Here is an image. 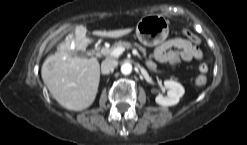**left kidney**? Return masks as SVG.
<instances>
[{"instance_id": "1", "label": "left kidney", "mask_w": 247, "mask_h": 145, "mask_svg": "<svg viewBox=\"0 0 247 145\" xmlns=\"http://www.w3.org/2000/svg\"><path fill=\"white\" fill-rule=\"evenodd\" d=\"M164 85L169 88L167 96L164 97L159 94L155 98L156 103L162 106L176 105L185 93L184 87L180 83L173 80H165Z\"/></svg>"}]
</instances>
